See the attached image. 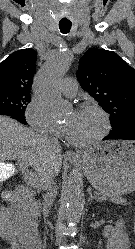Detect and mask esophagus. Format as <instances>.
I'll list each match as a JSON object with an SVG mask.
<instances>
[{
    "label": "esophagus",
    "instance_id": "1",
    "mask_svg": "<svg viewBox=\"0 0 135 249\" xmlns=\"http://www.w3.org/2000/svg\"><path fill=\"white\" fill-rule=\"evenodd\" d=\"M65 157L68 159H74V158H77L78 155L75 152H73L72 150H68L65 153Z\"/></svg>",
    "mask_w": 135,
    "mask_h": 249
}]
</instances>
